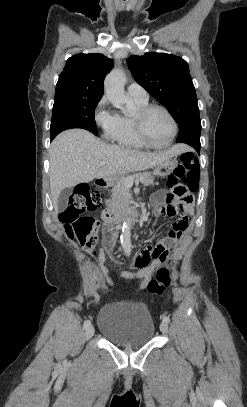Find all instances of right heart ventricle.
<instances>
[{"label": "right heart ventricle", "mask_w": 247, "mask_h": 407, "mask_svg": "<svg viewBox=\"0 0 247 407\" xmlns=\"http://www.w3.org/2000/svg\"><path fill=\"white\" fill-rule=\"evenodd\" d=\"M135 110L146 106L148 101L133 99ZM132 115L116 114V121L108 137L117 145L130 149H142L145 146L138 140L134 132Z\"/></svg>", "instance_id": "1"}]
</instances>
